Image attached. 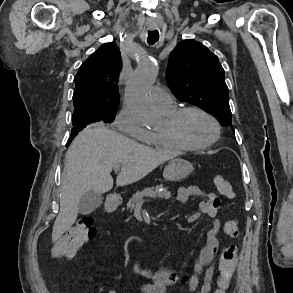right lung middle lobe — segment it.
<instances>
[{
  "label": "right lung middle lobe",
  "mask_w": 293,
  "mask_h": 293,
  "mask_svg": "<svg viewBox=\"0 0 293 293\" xmlns=\"http://www.w3.org/2000/svg\"><path fill=\"white\" fill-rule=\"evenodd\" d=\"M75 108V107H74ZM116 110L110 111H95L87 109H74L72 115L73 128H85L87 125L95 122H108L114 121Z\"/></svg>",
  "instance_id": "right-lung-middle-lobe-1"
}]
</instances>
